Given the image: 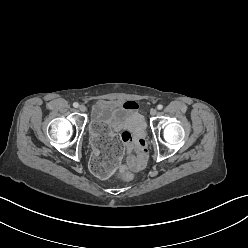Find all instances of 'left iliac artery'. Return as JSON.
<instances>
[{
    "mask_svg": "<svg viewBox=\"0 0 248 248\" xmlns=\"http://www.w3.org/2000/svg\"><path fill=\"white\" fill-rule=\"evenodd\" d=\"M163 108V105H161V104H159L158 106H157V109L158 110H161Z\"/></svg>",
    "mask_w": 248,
    "mask_h": 248,
    "instance_id": "left-iliac-artery-1",
    "label": "left iliac artery"
}]
</instances>
